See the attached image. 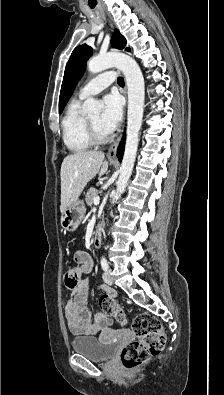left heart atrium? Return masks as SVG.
Wrapping results in <instances>:
<instances>
[{
    "mask_svg": "<svg viewBox=\"0 0 224 395\" xmlns=\"http://www.w3.org/2000/svg\"><path fill=\"white\" fill-rule=\"evenodd\" d=\"M123 103L120 96L111 93L103 98V111L100 116V125L108 134L113 132L122 117Z\"/></svg>",
    "mask_w": 224,
    "mask_h": 395,
    "instance_id": "obj_1",
    "label": "left heart atrium"
}]
</instances>
